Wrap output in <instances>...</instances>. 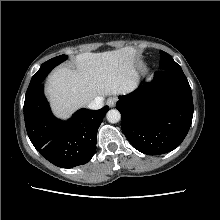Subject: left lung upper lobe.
Instances as JSON below:
<instances>
[{
	"label": "left lung upper lobe",
	"mask_w": 220,
	"mask_h": 220,
	"mask_svg": "<svg viewBox=\"0 0 220 220\" xmlns=\"http://www.w3.org/2000/svg\"><path fill=\"white\" fill-rule=\"evenodd\" d=\"M160 56L159 67L161 70H182L168 53L160 51Z\"/></svg>",
	"instance_id": "left-lung-upper-lobe-1"
}]
</instances>
